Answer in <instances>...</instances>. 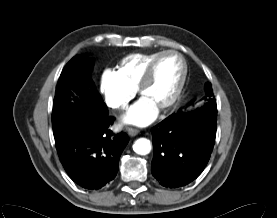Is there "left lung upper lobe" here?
Wrapping results in <instances>:
<instances>
[{"label": "left lung upper lobe", "instance_id": "5c2ea615", "mask_svg": "<svg viewBox=\"0 0 277 218\" xmlns=\"http://www.w3.org/2000/svg\"><path fill=\"white\" fill-rule=\"evenodd\" d=\"M205 89V96L203 97V103L201 105V107H206V106H213V107H217L216 104V99L215 96L213 94V90L211 87L210 83H206L204 86ZM189 109H186L185 111H188Z\"/></svg>", "mask_w": 277, "mask_h": 218}]
</instances>
